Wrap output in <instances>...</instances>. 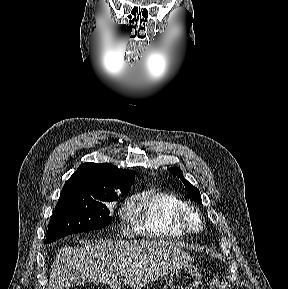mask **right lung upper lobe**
I'll list each match as a JSON object with an SVG mask.
<instances>
[{
  "label": "right lung upper lobe",
  "mask_w": 288,
  "mask_h": 289,
  "mask_svg": "<svg viewBox=\"0 0 288 289\" xmlns=\"http://www.w3.org/2000/svg\"><path fill=\"white\" fill-rule=\"evenodd\" d=\"M134 173L108 163H84L65 183L61 193L96 194L130 190Z\"/></svg>",
  "instance_id": "right-lung-upper-lobe-1"
}]
</instances>
